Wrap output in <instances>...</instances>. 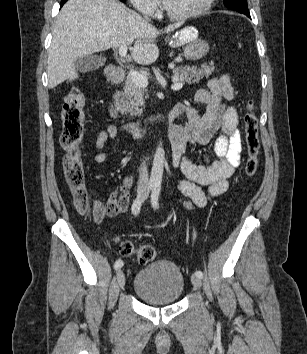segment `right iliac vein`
Masks as SVG:
<instances>
[{
	"label": "right iliac vein",
	"mask_w": 307,
	"mask_h": 354,
	"mask_svg": "<svg viewBox=\"0 0 307 354\" xmlns=\"http://www.w3.org/2000/svg\"><path fill=\"white\" fill-rule=\"evenodd\" d=\"M117 283L120 288H123L125 285V275L122 270H118L117 272Z\"/></svg>",
	"instance_id": "63e3f726"
}]
</instances>
